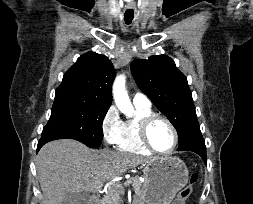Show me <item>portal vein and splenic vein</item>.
<instances>
[{
  "label": "portal vein and splenic vein",
  "mask_w": 253,
  "mask_h": 204,
  "mask_svg": "<svg viewBox=\"0 0 253 204\" xmlns=\"http://www.w3.org/2000/svg\"><path fill=\"white\" fill-rule=\"evenodd\" d=\"M134 180H135V177H131L130 179H128V180L124 183V185H125V186H128V185H130L131 183H133Z\"/></svg>",
  "instance_id": "1"
}]
</instances>
